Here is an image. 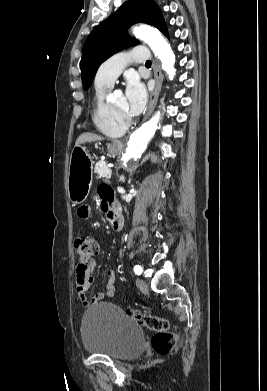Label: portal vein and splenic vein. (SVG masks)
I'll use <instances>...</instances> for the list:
<instances>
[{"instance_id": "obj_1", "label": "portal vein and splenic vein", "mask_w": 267, "mask_h": 391, "mask_svg": "<svg viewBox=\"0 0 267 391\" xmlns=\"http://www.w3.org/2000/svg\"><path fill=\"white\" fill-rule=\"evenodd\" d=\"M107 167H108V168H112V167H113V165H112V164H109V165H107Z\"/></svg>"}]
</instances>
